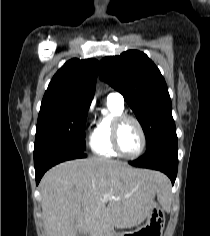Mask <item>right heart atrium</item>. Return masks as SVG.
<instances>
[{
  "instance_id": "obj_1",
  "label": "right heart atrium",
  "mask_w": 210,
  "mask_h": 236,
  "mask_svg": "<svg viewBox=\"0 0 210 236\" xmlns=\"http://www.w3.org/2000/svg\"><path fill=\"white\" fill-rule=\"evenodd\" d=\"M91 110H92V107L89 108V110H88V114L91 112Z\"/></svg>"
}]
</instances>
